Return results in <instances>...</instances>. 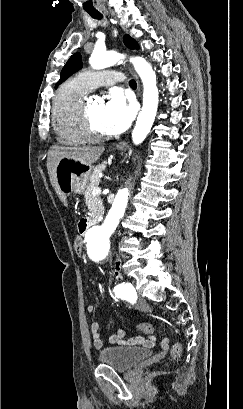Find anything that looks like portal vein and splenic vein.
Listing matches in <instances>:
<instances>
[{"instance_id":"portal-vein-and-splenic-vein-1","label":"portal vein and splenic vein","mask_w":243,"mask_h":409,"mask_svg":"<svg viewBox=\"0 0 243 409\" xmlns=\"http://www.w3.org/2000/svg\"><path fill=\"white\" fill-rule=\"evenodd\" d=\"M100 193H101V188L100 187H95L93 189V192H92L93 195H98Z\"/></svg>"}]
</instances>
